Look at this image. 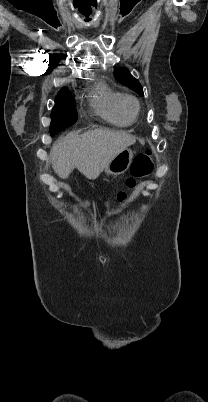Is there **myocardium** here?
Segmentation results:
<instances>
[{
	"label": "myocardium",
	"mask_w": 208,
	"mask_h": 402,
	"mask_svg": "<svg viewBox=\"0 0 208 402\" xmlns=\"http://www.w3.org/2000/svg\"><path fill=\"white\" fill-rule=\"evenodd\" d=\"M130 101L134 104L135 109L132 111L128 108L127 102ZM120 108L129 117L137 119L140 115L141 104L137 97L132 94H122L120 98Z\"/></svg>",
	"instance_id": "obj_1"
}]
</instances>
